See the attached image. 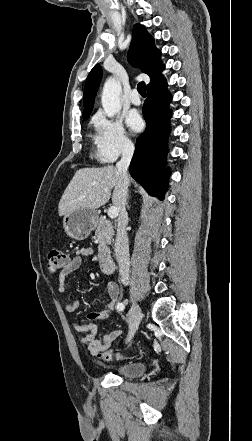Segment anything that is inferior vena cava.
<instances>
[{"label": "inferior vena cava", "mask_w": 252, "mask_h": 441, "mask_svg": "<svg viewBox=\"0 0 252 441\" xmlns=\"http://www.w3.org/2000/svg\"><path fill=\"white\" fill-rule=\"evenodd\" d=\"M133 153H134V146L126 145L123 148L121 160L118 161L116 164V169L119 172L122 179L121 182L122 193H121V205L119 208V217H118L114 251L117 262L119 264V273H120L121 281L124 285L129 284V271H130L129 245H128V236L126 232V227L128 224V214L125 205L128 196V186H129L128 167L133 157Z\"/></svg>", "instance_id": "inferior-vena-cava-1"}]
</instances>
